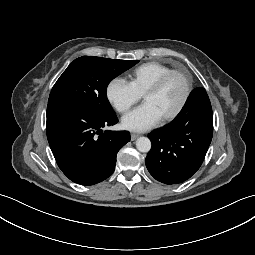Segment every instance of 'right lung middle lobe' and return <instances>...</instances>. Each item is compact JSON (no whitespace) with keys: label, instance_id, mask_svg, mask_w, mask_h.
<instances>
[{"label":"right lung middle lobe","instance_id":"obj_1","mask_svg":"<svg viewBox=\"0 0 255 255\" xmlns=\"http://www.w3.org/2000/svg\"><path fill=\"white\" fill-rule=\"evenodd\" d=\"M139 60H117L94 56L75 59L53 86L48 105L71 104L101 115L113 114L106 96L111 80Z\"/></svg>","mask_w":255,"mask_h":255}]
</instances>
